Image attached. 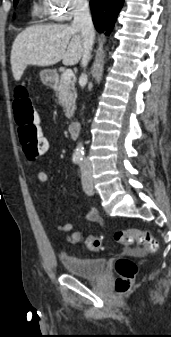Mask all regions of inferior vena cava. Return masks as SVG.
<instances>
[{
  "label": "inferior vena cava",
  "instance_id": "1",
  "mask_svg": "<svg viewBox=\"0 0 171 337\" xmlns=\"http://www.w3.org/2000/svg\"><path fill=\"white\" fill-rule=\"evenodd\" d=\"M73 27L81 30L83 39V53L81 64L85 68L91 57V50L95 39L94 26L86 0H77L74 5ZM80 79H86V75L82 74Z\"/></svg>",
  "mask_w": 171,
  "mask_h": 337
}]
</instances>
